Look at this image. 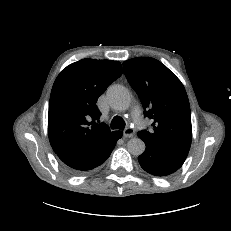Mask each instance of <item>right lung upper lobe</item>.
I'll list each match as a JSON object with an SVG mask.
<instances>
[{"label": "right lung upper lobe", "instance_id": "right-lung-upper-lobe-1", "mask_svg": "<svg viewBox=\"0 0 231 231\" xmlns=\"http://www.w3.org/2000/svg\"><path fill=\"white\" fill-rule=\"evenodd\" d=\"M121 74L118 61L86 58L68 65L58 75L48 115V135L54 151L93 146L115 132L104 123H96L101 116L96 102Z\"/></svg>", "mask_w": 231, "mask_h": 231}]
</instances>
